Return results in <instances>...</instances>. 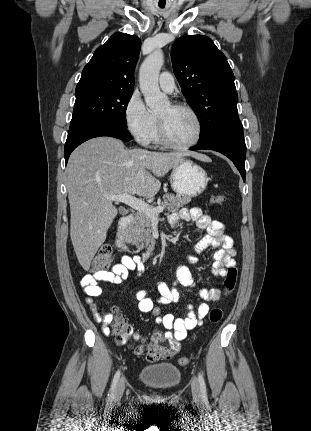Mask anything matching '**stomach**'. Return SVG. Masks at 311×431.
Listing matches in <instances>:
<instances>
[{
	"label": "stomach",
	"instance_id": "stomach-1",
	"mask_svg": "<svg viewBox=\"0 0 311 431\" xmlns=\"http://www.w3.org/2000/svg\"><path fill=\"white\" fill-rule=\"evenodd\" d=\"M169 182L177 196L196 198L206 190L209 178L201 166L194 164L192 160H183L173 168Z\"/></svg>",
	"mask_w": 311,
	"mask_h": 431
}]
</instances>
